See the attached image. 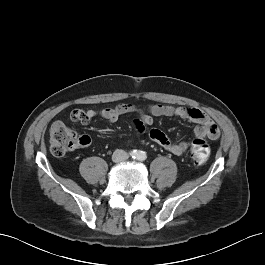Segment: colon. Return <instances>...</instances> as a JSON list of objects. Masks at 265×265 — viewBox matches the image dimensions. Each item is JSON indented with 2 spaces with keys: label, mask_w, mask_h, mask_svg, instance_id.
<instances>
[{
  "label": "colon",
  "mask_w": 265,
  "mask_h": 265,
  "mask_svg": "<svg viewBox=\"0 0 265 265\" xmlns=\"http://www.w3.org/2000/svg\"><path fill=\"white\" fill-rule=\"evenodd\" d=\"M49 140L51 153L56 157L64 156L82 143V137L60 122L54 123L51 127ZM209 154V144L205 139L198 137L192 141L191 157L196 164L205 163Z\"/></svg>",
  "instance_id": "5ec220e1"
}]
</instances>
